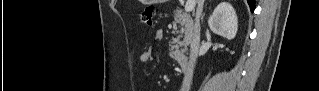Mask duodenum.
<instances>
[{"instance_id":"obj_1","label":"duodenum","mask_w":319,"mask_h":91,"mask_svg":"<svg viewBox=\"0 0 319 91\" xmlns=\"http://www.w3.org/2000/svg\"><path fill=\"white\" fill-rule=\"evenodd\" d=\"M175 61L182 70H186L188 67V58L184 54H178L175 56Z\"/></svg>"}]
</instances>
